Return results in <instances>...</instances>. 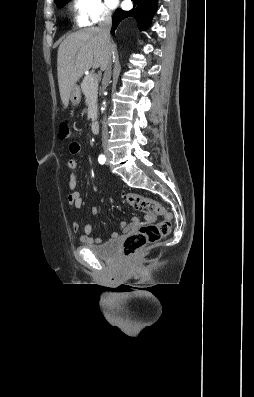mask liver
<instances>
[{
  "label": "liver",
  "mask_w": 254,
  "mask_h": 397,
  "mask_svg": "<svg viewBox=\"0 0 254 397\" xmlns=\"http://www.w3.org/2000/svg\"><path fill=\"white\" fill-rule=\"evenodd\" d=\"M114 45H105L99 28L91 27L70 34L58 48V84L64 108L69 105L70 91L91 67L105 70Z\"/></svg>",
  "instance_id": "1"
}]
</instances>
